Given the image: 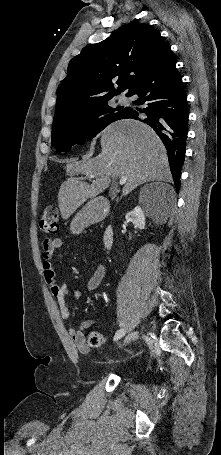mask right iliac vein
I'll list each match as a JSON object with an SVG mask.
<instances>
[{
  "mask_svg": "<svg viewBox=\"0 0 221 455\" xmlns=\"http://www.w3.org/2000/svg\"><path fill=\"white\" fill-rule=\"evenodd\" d=\"M138 336H139L138 331L132 332L131 334H129V335L125 338L124 344H128V343H130L131 341L136 340V339L138 338Z\"/></svg>",
  "mask_w": 221,
  "mask_h": 455,
  "instance_id": "obj_1",
  "label": "right iliac vein"
}]
</instances>
